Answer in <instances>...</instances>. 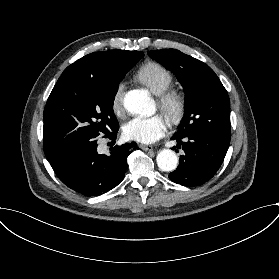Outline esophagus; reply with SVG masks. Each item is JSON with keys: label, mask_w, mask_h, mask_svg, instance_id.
<instances>
[{"label": "esophagus", "mask_w": 279, "mask_h": 279, "mask_svg": "<svg viewBox=\"0 0 279 279\" xmlns=\"http://www.w3.org/2000/svg\"><path fill=\"white\" fill-rule=\"evenodd\" d=\"M138 147L141 148L142 150L148 151L150 153L153 151V147L148 144H139Z\"/></svg>", "instance_id": "esophagus-1"}]
</instances>
